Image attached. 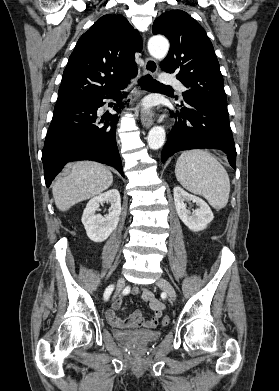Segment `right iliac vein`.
<instances>
[{
    "label": "right iliac vein",
    "instance_id": "obj_1",
    "mask_svg": "<svg viewBox=\"0 0 279 391\" xmlns=\"http://www.w3.org/2000/svg\"><path fill=\"white\" fill-rule=\"evenodd\" d=\"M124 286H125V280L123 277H120L117 281V288L113 296V300L118 296V294L120 293V291L123 289Z\"/></svg>",
    "mask_w": 279,
    "mask_h": 391
}]
</instances>
